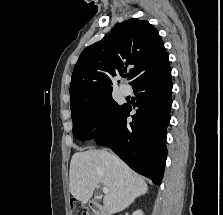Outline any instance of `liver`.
<instances>
[{"label":"liver","instance_id":"liver-1","mask_svg":"<svg viewBox=\"0 0 223 215\" xmlns=\"http://www.w3.org/2000/svg\"><path fill=\"white\" fill-rule=\"evenodd\" d=\"M69 179V191L81 203H87L98 183L108 187L103 203L109 215L122 211L148 189L141 175L133 173L124 161L104 149L74 153L70 161Z\"/></svg>","mask_w":223,"mask_h":215}]
</instances>
